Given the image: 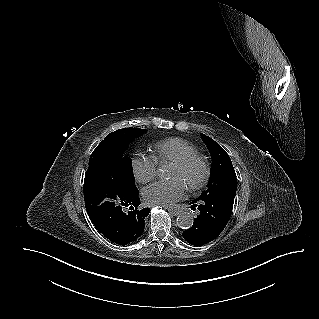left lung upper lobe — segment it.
Returning a JSON list of instances; mask_svg holds the SVG:
<instances>
[{
	"instance_id": "5c2ea615",
	"label": "left lung upper lobe",
	"mask_w": 319,
	"mask_h": 319,
	"mask_svg": "<svg viewBox=\"0 0 319 319\" xmlns=\"http://www.w3.org/2000/svg\"><path fill=\"white\" fill-rule=\"evenodd\" d=\"M202 138L212 154V170L208 187L196 200H203L227 191H236V174L226 151L213 139L202 134Z\"/></svg>"
}]
</instances>
